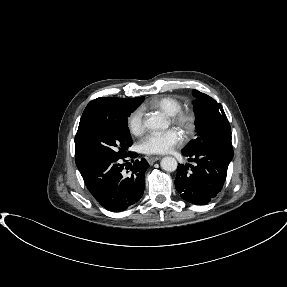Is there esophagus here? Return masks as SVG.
<instances>
[{
	"mask_svg": "<svg viewBox=\"0 0 287 287\" xmlns=\"http://www.w3.org/2000/svg\"><path fill=\"white\" fill-rule=\"evenodd\" d=\"M160 159H161V156L150 157V158L148 159V163H149V164H153L154 162H156V161H158V160H160Z\"/></svg>",
	"mask_w": 287,
	"mask_h": 287,
	"instance_id": "34e87169",
	"label": "esophagus"
}]
</instances>
